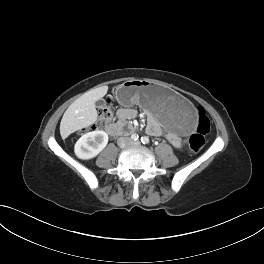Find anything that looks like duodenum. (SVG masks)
Returning a JSON list of instances; mask_svg holds the SVG:
<instances>
[{
  "label": "duodenum",
  "mask_w": 264,
  "mask_h": 264,
  "mask_svg": "<svg viewBox=\"0 0 264 264\" xmlns=\"http://www.w3.org/2000/svg\"><path fill=\"white\" fill-rule=\"evenodd\" d=\"M132 131V128L126 127L124 124L119 122H113L107 126V132L111 136L126 135Z\"/></svg>",
  "instance_id": "duodenum-1"
}]
</instances>
